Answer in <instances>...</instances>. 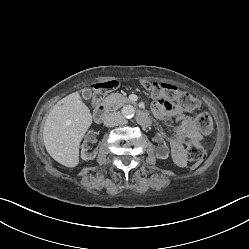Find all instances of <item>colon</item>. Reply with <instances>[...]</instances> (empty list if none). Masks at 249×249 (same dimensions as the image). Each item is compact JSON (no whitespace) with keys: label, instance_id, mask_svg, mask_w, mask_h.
Listing matches in <instances>:
<instances>
[{"label":"colon","instance_id":"obj_1","mask_svg":"<svg viewBox=\"0 0 249 249\" xmlns=\"http://www.w3.org/2000/svg\"><path fill=\"white\" fill-rule=\"evenodd\" d=\"M118 82L115 80L98 83L95 85V93L93 102H100L105 96L106 92L115 89ZM141 86L153 98L164 101L167 104L177 103L189 110H198L199 102L196 98L187 92L178 89L176 86L169 83H158L148 80H142ZM195 124L203 134H209L213 129L212 117L205 111H200L195 117ZM208 150V143L203 145L189 143L187 146V157L191 162H201Z\"/></svg>","mask_w":249,"mask_h":249}]
</instances>
